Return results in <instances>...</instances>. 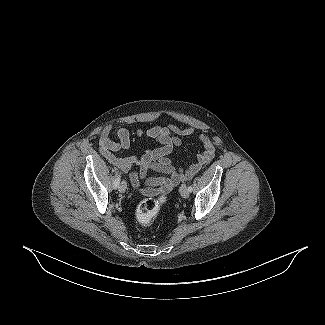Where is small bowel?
Instances as JSON below:
<instances>
[{
    "label": "small bowel",
    "instance_id": "obj_1",
    "mask_svg": "<svg viewBox=\"0 0 325 325\" xmlns=\"http://www.w3.org/2000/svg\"><path fill=\"white\" fill-rule=\"evenodd\" d=\"M112 126L107 125L102 129L99 138V150L101 154L114 166L128 173L129 180L134 189H139L140 179H147V171L150 168L161 169L171 175L167 182L169 186H177L180 182L195 175L201 168L207 165L215 155V148L208 135L201 134L199 141L203 144L204 150L197 155V162L187 170H178L173 162L166 156L172 152L174 147L181 145V137L192 135L195 130L192 127H180L169 124L166 127L155 126L146 131L138 130L137 137L152 139L161 143V147L155 150H146L141 156H130L125 158L117 157L114 152L126 150L131 145V134L126 128H119L116 131L117 141L110 138ZM139 167V172L134 170Z\"/></svg>",
    "mask_w": 325,
    "mask_h": 325
}]
</instances>
